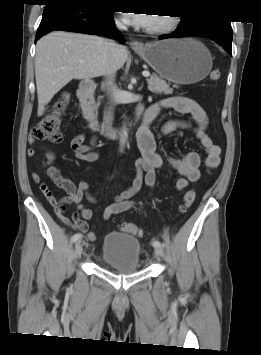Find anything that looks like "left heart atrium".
Returning <instances> with one entry per match:
<instances>
[{
	"label": "left heart atrium",
	"mask_w": 261,
	"mask_h": 355,
	"mask_svg": "<svg viewBox=\"0 0 261 355\" xmlns=\"http://www.w3.org/2000/svg\"><path fill=\"white\" fill-rule=\"evenodd\" d=\"M124 15L128 24L139 26V27H148L153 20V15L150 13L124 12Z\"/></svg>",
	"instance_id": "obj_1"
}]
</instances>
